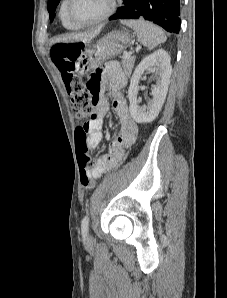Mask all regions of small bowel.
I'll return each instance as SVG.
<instances>
[{"instance_id": "obj_1", "label": "small bowel", "mask_w": 227, "mask_h": 298, "mask_svg": "<svg viewBox=\"0 0 227 298\" xmlns=\"http://www.w3.org/2000/svg\"><path fill=\"white\" fill-rule=\"evenodd\" d=\"M104 69H93L86 82L87 92H91L90 102L95 110H90L89 125H84L88 133V149H96L103 139V122L109 111V98L119 119L120 128L110 142L108 153L94 162L89 174L95 179L111 170L123 156L124 149L131 147L138 135V125L132 118L122 88L126 77L117 62L102 63ZM109 80L110 89L105 91V81ZM80 166V165H79Z\"/></svg>"}]
</instances>
